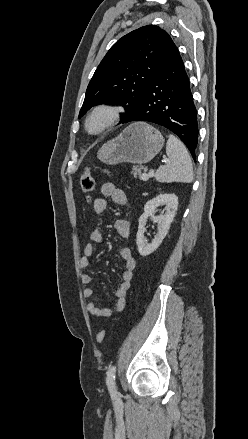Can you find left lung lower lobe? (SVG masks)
I'll use <instances>...</instances> for the list:
<instances>
[{
    "mask_svg": "<svg viewBox=\"0 0 248 439\" xmlns=\"http://www.w3.org/2000/svg\"><path fill=\"white\" fill-rule=\"evenodd\" d=\"M132 121L153 122L169 129L184 142L195 160L197 110L177 47L145 90L135 111L123 123Z\"/></svg>",
    "mask_w": 248,
    "mask_h": 439,
    "instance_id": "obj_1",
    "label": "left lung lower lobe"
}]
</instances>
